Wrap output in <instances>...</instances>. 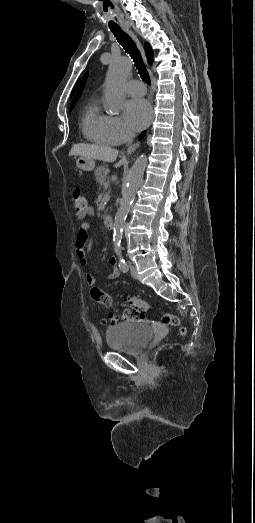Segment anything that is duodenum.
<instances>
[{
  "instance_id": "duodenum-1",
  "label": "duodenum",
  "mask_w": 255,
  "mask_h": 523,
  "mask_svg": "<svg viewBox=\"0 0 255 523\" xmlns=\"http://www.w3.org/2000/svg\"><path fill=\"white\" fill-rule=\"evenodd\" d=\"M104 224L107 229H113V226H114L113 217L111 215H106L104 217Z\"/></svg>"
}]
</instances>
